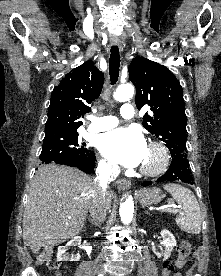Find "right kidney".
<instances>
[{"label":"right kidney","instance_id":"1","mask_svg":"<svg viewBox=\"0 0 221 276\" xmlns=\"http://www.w3.org/2000/svg\"><path fill=\"white\" fill-rule=\"evenodd\" d=\"M81 244V237L77 236L74 237L72 240H70L65 246H60L58 248L57 252V260L58 261H79L80 260V255H71L69 257L68 253L66 252L68 247L70 246H79Z\"/></svg>","mask_w":221,"mask_h":276}]
</instances>
